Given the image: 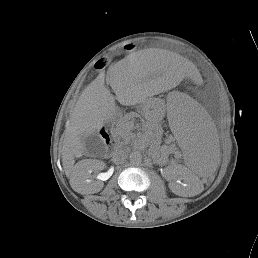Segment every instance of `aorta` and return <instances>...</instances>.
Wrapping results in <instances>:
<instances>
[{"mask_svg": "<svg viewBox=\"0 0 258 258\" xmlns=\"http://www.w3.org/2000/svg\"><path fill=\"white\" fill-rule=\"evenodd\" d=\"M130 161L133 164H140L142 161V155L138 151H134L130 154Z\"/></svg>", "mask_w": 258, "mask_h": 258, "instance_id": "1", "label": "aorta"}]
</instances>
